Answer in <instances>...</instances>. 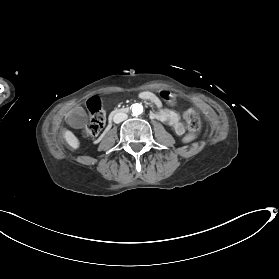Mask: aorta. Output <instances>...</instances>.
I'll return each mask as SVG.
<instances>
[{
	"label": "aorta",
	"instance_id": "1",
	"mask_svg": "<svg viewBox=\"0 0 279 279\" xmlns=\"http://www.w3.org/2000/svg\"><path fill=\"white\" fill-rule=\"evenodd\" d=\"M132 112L134 115H139L143 112V106L141 104H133L132 105Z\"/></svg>",
	"mask_w": 279,
	"mask_h": 279
}]
</instances>
